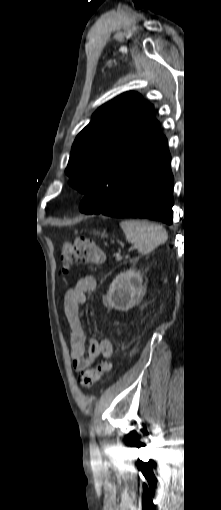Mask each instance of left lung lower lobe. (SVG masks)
Wrapping results in <instances>:
<instances>
[{
    "mask_svg": "<svg viewBox=\"0 0 221 510\" xmlns=\"http://www.w3.org/2000/svg\"><path fill=\"white\" fill-rule=\"evenodd\" d=\"M168 149L150 159L104 208H92L82 200L79 209L86 214L121 218H148L172 223L173 175Z\"/></svg>",
    "mask_w": 221,
    "mask_h": 510,
    "instance_id": "obj_1",
    "label": "left lung lower lobe"
}]
</instances>
